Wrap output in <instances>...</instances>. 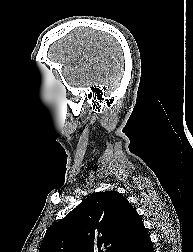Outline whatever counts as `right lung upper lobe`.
Returning a JSON list of instances; mask_svg holds the SVG:
<instances>
[{"label": "right lung upper lobe", "instance_id": "obj_1", "mask_svg": "<svg viewBox=\"0 0 193 252\" xmlns=\"http://www.w3.org/2000/svg\"><path fill=\"white\" fill-rule=\"evenodd\" d=\"M145 229L116 191L88 196L47 230L39 252H126Z\"/></svg>", "mask_w": 193, "mask_h": 252}]
</instances>
